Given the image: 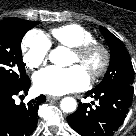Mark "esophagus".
Returning <instances> with one entry per match:
<instances>
[{
    "label": "esophagus",
    "mask_w": 136,
    "mask_h": 136,
    "mask_svg": "<svg viewBox=\"0 0 136 136\" xmlns=\"http://www.w3.org/2000/svg\"><path fill=\"white\" fill-rule=\"evenodd\" d=\"M47 101H55V100H59L60 99V97H55V96H51V95H48L47 97Z\"/></svg>",
    "instance_id": "obj_1"
}]
</instances>
